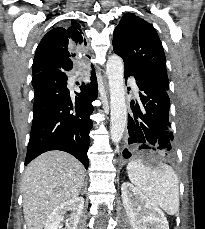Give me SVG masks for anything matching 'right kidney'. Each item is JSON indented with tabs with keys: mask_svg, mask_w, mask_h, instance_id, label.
Masks as SVG:
<instances>
[{
	"mask_svg": "<svg viewBox=\"0 0 205 229\" xmlns=\"http://www.w3.org/2000/svg\"><path fill=\"white\" fill-rule=\"evenodd\" d=\"M83 208V197H76L59 204L48 216L44 229H61V222H64L67 211H71V214L65 220V229H77Z\"/></svg>",
	"mask_w": 205,
	"mask_h": 229,
	"instance_id": "right-kidney-1",
	"label": "right kidney"
}]
</instances>
